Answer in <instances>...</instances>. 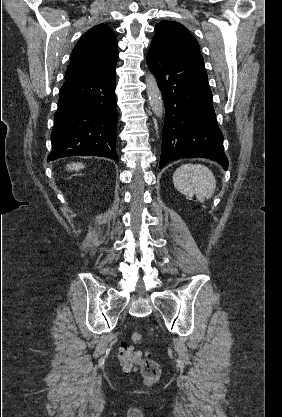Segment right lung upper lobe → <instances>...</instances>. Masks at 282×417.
Returning <instances> with one entry per match:
<instances>
[{
    "label": "right lung upper lobe",
    "instance_id": "cb5924a9",
    "mask_svg": "<svg viewBox=\"0 0 282 417\" xmlns=\"http://www.w3.org/2000/svg\"><path fill=\"white\" fill-rule=\"evenodd\" d=\"M117 39L105 24L91 28L74 47L65 79H72L89 72L116 64Z\"/></svg>",
    "mask_w": 282,
    "mask_h": 417
}]
</instances>
